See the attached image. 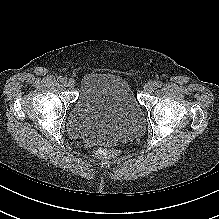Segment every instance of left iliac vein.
Instances as JSON below:
<instances>
[{
    "mask_svg": "<svg viewBox=\"0 0 219 219\" xmlns=\"http://www.w3.org/2000/svg\"><path fill=\"white\" fill-rule=\"evenodd\" d=\"M155 87V83L150 81L144 85L143 89L147 92H152L155 90Z\"/></svg>",
    "mask_w": 219,
    "mask_h": 219,
    "instance_id": "obj_1",
    "label": "left iliac vein"
}]
</instances>
